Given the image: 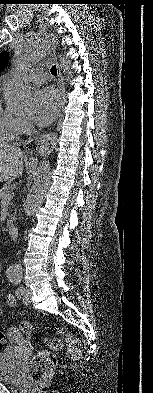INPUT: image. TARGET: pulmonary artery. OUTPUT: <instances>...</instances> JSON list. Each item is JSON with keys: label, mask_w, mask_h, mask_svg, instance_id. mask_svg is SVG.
<instances>
[{"label": "pulmonary artery", "mask_w": 153, "mask_h": 393, "mask_svg": "<svg viewBox=\"0 0 153 393\" xmlns=\"http://www.w3.org/2000/svg\"><path fill=\"white\" fill-rule=\"evenodd\" d=\"M22 79L29 83L40 84L44 81V75L41 74L38 70L33 69L30 72L24 74Z\"/></svg>", "instance_id": "obj_1"}]
</instances>
